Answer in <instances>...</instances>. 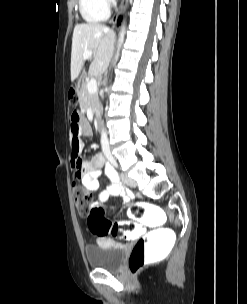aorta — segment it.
<instances>
[{
    "label": "aorta",
    "mask_w": 247,
    "mask_h": 304,
    "mask_svg": "<svg viewBox=\"0 0 247 304\" xmlns=\"http://www.w3.org/2000/svg\"><path fill=\"white\" fill-rule=\"evenodd\" d=\"M125 30H126V26L125 23H123L120 33H119V38H118V44H117V52L115 55V62L118 60L119 58V54H120V49L121 46L123 45L124 42V38H125ZM101 147L103 149V151H109V141H108V135L106 132L105 127H102V131H101Z\"/></svg>",
    "instance_id": "aorta-1"
}]
</instances>
